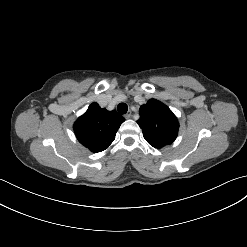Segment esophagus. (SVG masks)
I'll list each match as a JSON object with an SVG mask.
<instances>
[{"label": "esophagus", "instance_id": "34e87169", "mask_svg": "<svg viewBox=\"0 0 247 247\" xmlns=\"http://www.w3.org/2000/svg\"><path fill=\"white\" fill-rule=\"evenodd\" d=\"M131 116H132L131 111H128V112L124 115V117H125L126 119L131 118Z\"/></svg>", "mask_w": 247, "mask_h": 247}]
</instances>
